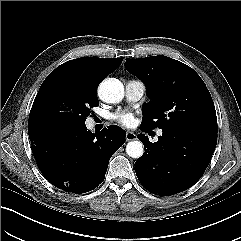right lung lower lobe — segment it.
I'll return each instance as SVG.
<instances>
[{"label": "right lung lower lobe", "instance_id": "right-lung-lower-lobe-1", "mask_svg": "<svg viewBox=\"0 0 241 241\" xmlns=\"http://www.w3.org/2000/svg\"><path fill=\"white\" fill-rule=\"evenodd\" d=\"M125 136L117 125L95 134L85 125L29 134L44 177L55 187L77 194L101 184L109 160L125 143Z\"/></svg>", "mask_w": 241, "mask_h": 241}]
</instances>
